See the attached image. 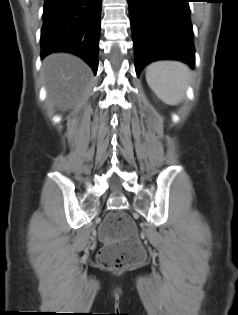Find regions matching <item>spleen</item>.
Instances as JSON below:
<instances>
[{"label":"spleen","mask_w":238,"mask_h":315,"mask_svg":"<svg viewBox=\"0 0 238 315\" xmlns=\"http://www.w3.org/2000/svg\"><path fill=\"white\" fill-rule=\"evenodd\" d=\"M190 69L179 61H156L146 68V81L165 103L176 105L186 97L190 84Z\"/></svg>","instance_id":"obj_1"}]
</instances>
